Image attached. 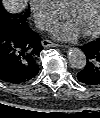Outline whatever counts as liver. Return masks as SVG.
I'll return each instance as SVG.
<instances>
[{
	"instance_id": "liver-1",
	"label": "liver",
	"mask_w": 100,
	"mask_h": 118,
	"mask_svg": "<svg viewBox=\"0 0 100 118\" xmlns=\"http://www.w3.org/2000/svg\"><path fill=\"white\" fill-rule=\"evenodd\" d=\"M28 0H2L4 8L13 14L21 13L27 6Z\"/></svg>"
}]
</instances>
